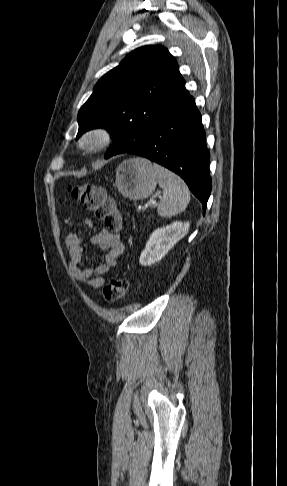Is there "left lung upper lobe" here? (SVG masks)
<instances>
[{
    "instance_id": "1",
    "label": "left lung upper lobe",
    "mask_w": 287,
    "mask_h": 486,
    "mask_svg": "<svg viewBox=\"0 0 287 486\" xmlns=\"http://www.w3.org/2000/svg\"><path fill=\"white\" fill-rule=\"evenodd\" d=\"M178 63L162 46L131 52L95 85L78 113L79 131L107 129L113 146L105 158L138 147L185 93Z\"/></svg>"
}]
</instances>
